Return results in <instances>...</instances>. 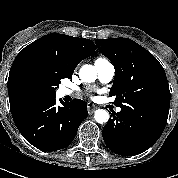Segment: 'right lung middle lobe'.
I'll list each match as a JSON object with an SVG mask.
<instances>
[{
	"mask_svg": "<svg viewBox=\"0 0 178 178\" xmlns=\"http://www.w3.org/2000/svg\"><path fill=\"white\" fill-rule=\"evenodd\" d=\"M38 61L24 63L17 74V86L22 97L49 98L63 78H71Z\"/></svg>",
	"mask_w": 178,
	"mask_h": 178,
	"instance_id": "right-lung-middle-lobe-1",
	"label": "right lung middle lobe"
}]
</instances>
